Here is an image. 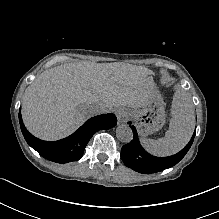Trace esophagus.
<instances>
[{
  "mask_svg": "<svg viewBox=\"0 0 219 219\" xmlns=\"http://www.w3.org/2000/svg\"><path fill=\"white\" fill-rule=\"evenodd\" d=\"M115 114H116L119 122H124L126 120L127 116H128L127 112L122 108H118L115 111Z\"/></svg>",
  "mask_w": 219,
  "mask_h": 219,
  "instance_id": "34e87169",
  "label": "esophagus"
}]
</instances>
